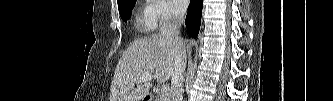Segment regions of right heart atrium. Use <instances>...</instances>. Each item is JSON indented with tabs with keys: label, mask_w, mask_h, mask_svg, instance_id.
Masks as SVG:
<instances>
[{
	"label": "right heart atrium",
	"mask_w": 333,
	"mask_h": 101,
	"mask_svg": "<svg viewBox=\"0 0 333 101\" xmlns=\"http://www.w3.org/2000/svg\"><path fill=\"white\" fill-rule=\"evenodd\" d=\"M180 11L168 0H152L148 3V17L153 28L163 26L177 20Z\"/></svg>",
	"instance_id": "obj_1"
}]
</instances>
